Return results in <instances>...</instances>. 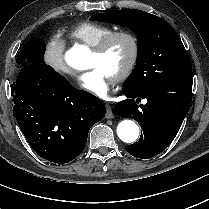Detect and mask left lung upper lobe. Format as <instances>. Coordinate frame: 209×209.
Segmentation results:
<instances>
[{
	"label": "left lung upper lobe",
	"mask_w": 209,
	"mask_h": 209,
	"mask_svg": "<svg viewBox=\"0 0 209 209\" xmlns=\"http://www.w3.org/2000/svg\"><path fill=\"white\" fill-rule=\"evenodd\" d=\"M90 19L125 26L137 34V64L123 87L136 90L192 78L191 62L179 35L160 17L126 9L98 13Z\"/></svg>",
	"instance_id": "left-lung-upper-lobe-1"
}]
</instances>
